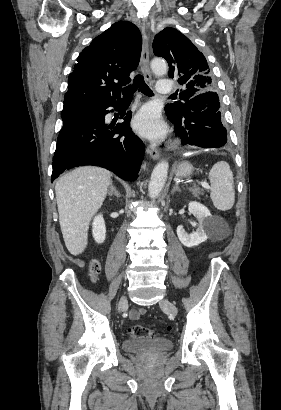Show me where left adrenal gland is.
<instances>
[{"label": "left adrenal gland", "mask_w": 281, "mask_h": 410, "mask_svg": "<svg viewBox=\"0 0 281 410\" xmlns=\"http://www.w3.org/2000/svg\"><path fill=\"white\" fill-rule=\"evenodd\" d=\"M176 191L181 192V189L179 188L178 183H176V184L173 186V189L171 190V194H174V192H176Z\"/></svg>", "instance_id": "obj_1"}]
</instances>
